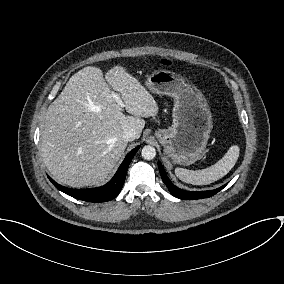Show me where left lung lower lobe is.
<instances>
[{"label":"left lung lower lobe","mask_w":284,"mask_h":284,"mask_svg":"<svg viewBox=\"0 0 284 284\" xmlns=\"http://www.w3.org/2000/svg\"><path fill=\"white\" fill-rule=\"evenodd\" d=\"M158 167L159 171L162 177L163 182L169 189L170 193L179 199H184V200H195V199H203V198H208L213 195H215L217 192H219L221 189H223L226 185L217 188L215 190H210V191H185L177 186H175L167 177L166 172L160 162H158Z\"/></svg>","instance_id":"obj_1"}]
</instances>
